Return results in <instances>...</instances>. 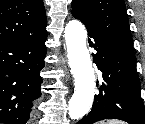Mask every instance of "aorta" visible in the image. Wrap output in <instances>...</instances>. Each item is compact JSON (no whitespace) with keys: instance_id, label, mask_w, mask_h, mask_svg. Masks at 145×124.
<instances>
[{"instance_id":"aorta-1","label":"aorta","mask_w":145,"mask_h":124,"mask_svg":"<svg viewBox=\"0 0 145 124\" xmlns=\"http://www.w3.org/2000/svg\"><path fill=\"white\" fill-rule=\"evenodd\" d=\"M68 61L75 89L69 100L68 114L73 120L84 117L92 107L95 95V74L86 47L87 31L78 20L67 23L64 31Z\"/></svg>"}]
</instances>
